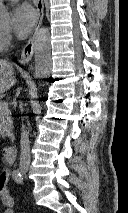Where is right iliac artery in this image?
<instances>
[{"label":"right iliac artery","mask_w":128,"mask_h":213,"mask_svg":"<svg viewBox=\"0 0 128 213\" xmlns=\"http://www.w3.org/2000/svg\"><path fill=\"white\" fill-rule=\"evenodd\" d=\"M13 178L17 183H19V184L23 183V176L19 170L13 171Z\"/></svg>","instance_id":"right-iliac-artery-1"}]
</instances>
